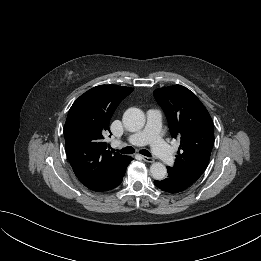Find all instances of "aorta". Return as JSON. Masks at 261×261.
<instances>
[{"label":"aorta","mask_w":261,"mask_h":261,"mask_svg":"<svg viewBox=\"0 0 261 261\" xmlns=\"http://www.w3.org/2000/svg\"><path fill=\"white\" fill-rule=\"evenodd\" d=\"M145 122L144 112L138 108L131 107L123 114V123L131 132L142 129ZM150 173L154 179L163 180L166 177L167 169L164 164L155 162L150 167Z\"/></svg>","instance_id":"aorta-1"}]
</instances>
